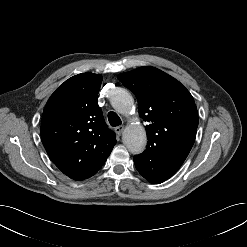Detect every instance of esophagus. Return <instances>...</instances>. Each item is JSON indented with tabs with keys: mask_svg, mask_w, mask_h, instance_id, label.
Listing matches in <instances>:
<instances>
[{
	"mask_svg": "<svg viewBox=\"0 0 247 247\" xmlns=\"http://www.w3.org/2000/svg\"><path fill=\"white\" fill-rule=\"evenodd\" d=\"M123 130H124V127L123 126H118V127L115 128V133L118 136H120L122 134Z\"/></svg>",
	"mask_w": 247,
	"mask_h": 247,
	"instance_id": "obj_1",
	"label": "esophagus"
}]
</instances>
